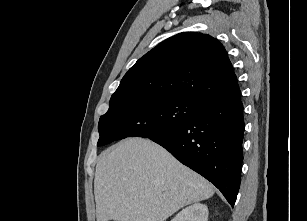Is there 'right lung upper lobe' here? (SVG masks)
<instances>
[{"label":"right lung upper lobe","mask_w":307,"mask_h":221,"mask_svg":"<svg viewBox=\"0 0 307 221\" xmlns=\"http://www.w3.org/2000/svg\"><path fill=\"white\" fill-rule=\"evenodd\" d=\"M239 93L222 44L209 35L183 32L141 57L124 75L110 103L137 96H163L203 106Z\"/></svg>","instance_id":"obj_1"}]
</instances>
